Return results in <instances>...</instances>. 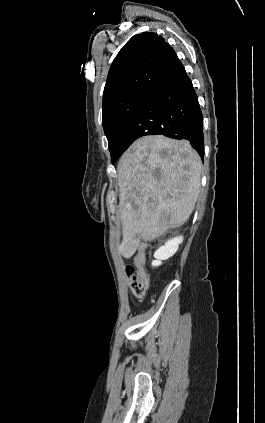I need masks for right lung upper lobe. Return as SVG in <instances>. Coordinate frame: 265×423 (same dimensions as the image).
Returning <instances> with one entry per match:
<instances>
[{"label":"right lung upper lobe","instance_id":"1","mask_svg":"<svg viewBox=\"0 0 265 423\" xmlns=\"http://www.w3.org/2000/svg\"><path fill=\"white\" fill-rule=\"evenodd\" d=\"M177 57L156 33L133 36L114 59L103 92V110L114 101L140 90H151Z\"/></svg>","mask_w":265,"mask_h":423}]
</instances>
